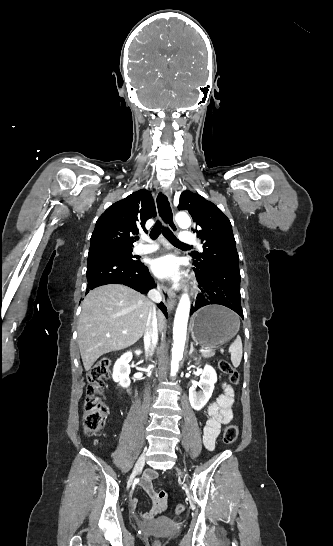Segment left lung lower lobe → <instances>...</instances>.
Wrapping results in <instances>:
<instances>
[{
    "label": "left lung lower lobe",
    "mask_w": 333,
    "mask_h": 546,
    "mask_svg": "<svg viewBox=\"0 0 333 546\" xmlns=\"http://www.w3.org/2000/svg\"><path fill=\"white\" fill-rule=\"evenodd\" d=\"M194 271L201 292L191 306V314L200 307L219 304L232 309L243 318L239 266L219 267L206 272Z\"/></svg>",
    "instance_id": "1"
}]
</instances>
